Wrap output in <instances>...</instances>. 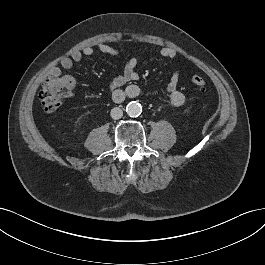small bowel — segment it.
<instances>
[{
	"mask_svg": "<svg viewBox=\"0 0 265 265\" xmlns=\"http://www.w3.org/2000/svg\"><path fill=\"white\" fill-rule=\"evenodd\" d=\"M96 51L111 56H116L119 54V51L116 48L103 42L96 44L94 47L85 46L81 50L72 52L70 56L62 58L60 61V66L52 67L50 69V74L60 75L62 69H71L75 63L82 61L84 57L94 55ZM159 54L163 58L172 59L176 56V51L171 47H163L160 49ZM137 67L138 59L130 58L126 62L123 72L111 80L109 89L113 100H115L116 102H121L127 97H136L139 94V88L135 84H132V82L136 81L139 77ZM180 73V70L170 72L169 80L166 85V93L169 102L174 107L181 106L185 101L184 94L178 88ZM126 84L129 85L124 90H122L121 87Z\"/></svg>",
	"mask_w": 265,
	"mask_h": 265,
	"instance_id": "small-bowel-1",
	"label": "small bowel"
}]
</instances>
